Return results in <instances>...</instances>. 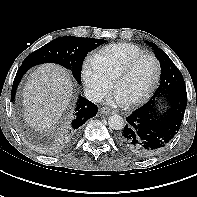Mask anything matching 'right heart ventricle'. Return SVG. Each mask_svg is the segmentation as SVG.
<instances>
[{
	"instance_id": "1",
	"label": "right heart ventricle",
	"mask_w": 197,
	"mask_h": 197,
	"mask_svg": "<svg viewBox=\"0 0 197 197\" xmlns=\"http://www.w3.org/2000/svg\"><path fill=\"white\" fill-rule=\"evenodd\" d=\"M145 50L131 43L109 45L92 56L94 64L114 79L118 71Z\"/></svg>"
}]
</instances>
